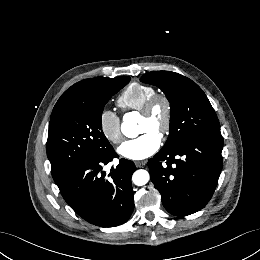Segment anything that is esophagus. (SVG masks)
I'll return each instance as SVG.
<instances>
[{
  "label": "esophagus",
  "instance_id": "obj_1",
  "mask_svg": "<svg viewBox=\"0 0 260 260\" xmlns=\"http://www.w3.org/2000/svg\"><path fill=\"white\" fill-rule=\"evenodd\" d=\"M145 161H135V165L137 168H141L145 166Z\"/></svg>",
  "mask_w": 260,
  "mask_h": 260
}]
</instances>
